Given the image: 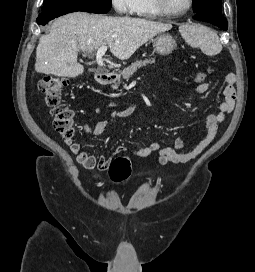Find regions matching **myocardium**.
<instances>
[{"label":"myocardium","mask_w":255,"mask_h":272,"mask_svg":"<svg viewBox=\"0 0 255 272\" xmlns=\"http://www.w3.org/2000/svg\"><path fill=\"white\" fill-rule=\"evenodd\" d=\"M153 1L158 12L162 16L169 17V18L181 17L187 14L193 6V0H188L187 7L184 10L178 11V12H172L166 7L165 0H153Z\"/></svg>","instance_id":"f54148a6"}]
</instances>
